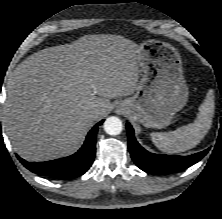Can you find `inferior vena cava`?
<instances>
[{"mask_svg": "<svg viewBox=\"0 0 222 219\" xmlns=\"http://www.w3.org/2000/svg\"><path fill=\"white\" fill-rule=\"evenodd\" d=\"M99 112V109H94L93 111H91V114H96Z\"/></svg>", "mask_w": 222, "mask_h": 219, "instance_id": "1", "label": "inferior vena cava"}]
</instances>
